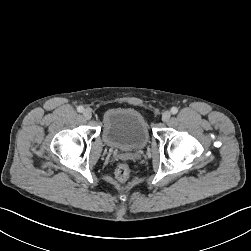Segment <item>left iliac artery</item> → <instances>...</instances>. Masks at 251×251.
<instances>
[{
    "mask_svg": "<svg viewBox=\"0 0 251 251\" xmlns=\"http://www.w3.org/2000/svg\"><path fill=\"white\" fill-rule=\"evenodd\" d=\"M178 112V108L177 107H172L171 108V113L172 114H176Z\"/></svg>",
    "mask_w": 251,
    "mask_h": 251,
    "instance_id": "44dca946",
    "label": "left iliac artery"
}]
</instances>
